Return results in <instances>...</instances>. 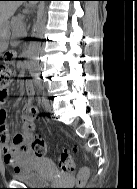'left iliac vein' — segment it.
<instances>
[{"instance_id": "4c4485c4", "label": "left iliac vein", "mask_w": 137, "mask_h": 189, "mask_svg": "<svg viewBox=\"0 0 137 189\" xmlns=\"http://www.w3.org/2000/svg\"><path fill=\"white\" fill-rule=\"evenodd\" d=\"M44 107L46 111H50L52 109V105L49 101L44 102Z\"/></svg>"}]
</instances>
